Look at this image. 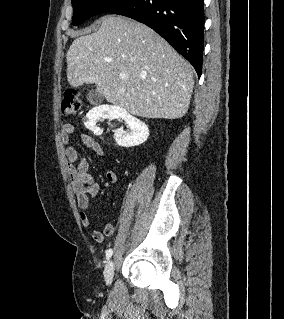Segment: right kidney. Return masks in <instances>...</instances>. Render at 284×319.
<instances>
[{
  "label": "right kidney",
  "instance_id": "obj_1",
  "mask_svg": "<svg viewBox=\"0 0 284 319\" xmlns=\"http://www.w3.org/2000/svg\"><path fill=\"white\" fill-rule=\"evenodd\" d=\"M105 116L120 118L125 121L129 129L123 130V127L117 129L114 133V139L122 147H133L144 143L149 136L147 125L132 116L125 109L118 106H99L90 110L85 119L84 125L91 131H98L97 121Z\"/></svg>",
  "mask_w": 284,
  "mask_h": 319
}]
</instances>
